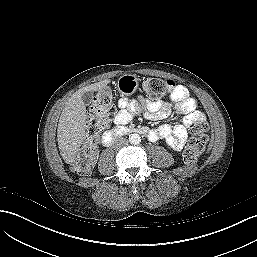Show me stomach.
I'll use <instances>...</instances> for the list:
<instances>
[{
  "mask_svg": "<svg viewBox=\"0 0 257 257\" xmlns=\"http://www.w3.org/2000/svg\"><path fill=\"white\" fill-rule=\"evenodd\" d=\"M139 86V79L134 74H124L117 82V87L122 95L133 94Z\"/></svg>",
  "mask_w": 257,
  "mask_h": 257,
  "instance_id": "0dacf381",
  "label": "stomach"
}]
</instances>
